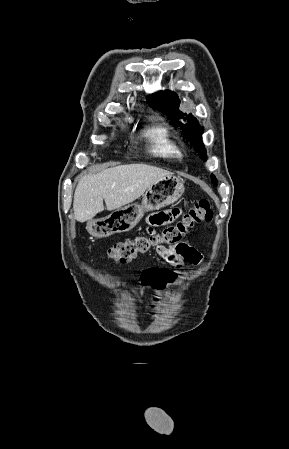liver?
<instances>
[{
	"mask_svg": "<svg viewBox=\"0 0 289 449\" xmlns=\"http://www.w3.org/2000/svg\"><path fill=\"white\" fill-rule=\"evenodd\" d=\"M171 175L169 171L146 164L121 165L85 175L74 193V217L79 222L91 220L104 210L103 200L107 210L119 209L142 196L157 180Z\"/></svg>",
	"mask_w": 289,
	"mask_h": 449,
	"instance_id": "6515ba94",
	"label": "liver"
}]
</instances>
